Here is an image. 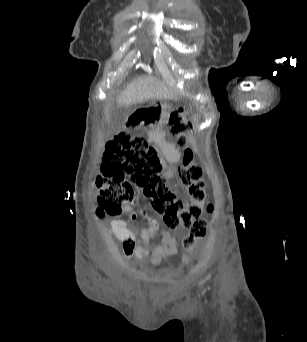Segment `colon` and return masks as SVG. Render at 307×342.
Listing matches in <instances>:
<instances>
[{"label":"colon","instance_id":"1","mask_svg":"<svg viewBox=\"0 0 307 342\" xmlns=\"http://www.w3.org/2000/svg\"><path fill=\"white\" fill-rule=\"evenodd\" d=\"M188 116V111L180 108L168 117L170 132L176 137L177 146L184 151L183 159L178 164L177 178L188 194V201L180 199L168 186L161 176L162 166L156 150L139 135L127 132L115 135L106 144L102 169L96 178L101 215L121 214L123 206L133 199L134 183L166 227L174 229L182 225L189 229L181 243L184 251H191L204 238L207 221L200 215L204 208L207 211L213 209L212 203L203 205L205 182L202 180V169L194 161L196 153L187 147L186 134L191 127ZM177 245L178 240L173 235H165L163 243H157L154 252L177 254ZM157 259L154 257V261Z\"/></svg>","mask_w":307,"mask_h":342}]
</instances>
